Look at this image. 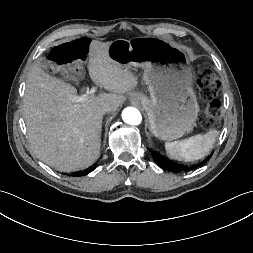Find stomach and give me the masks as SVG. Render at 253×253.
<instances>
[{"label":"stomach","instance_id":"1","mask_svg":"<svg viewBox=\"0 0 253 253\" xmlns=\"http://www.w3.org/2000/svg\"><path fill=\"white\" fill-rule=\"evenodd\" d=\"M108 52L120 65L144 69L150 96L135 92L131 99L143 106L155 137L173 141L192 131L199 106L192 89L193 71L182 51L148 37L117 39Z\"/></svg>","mask_w":253,"mask_h":253}]
</instances>
